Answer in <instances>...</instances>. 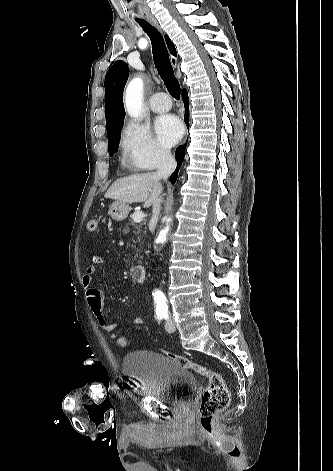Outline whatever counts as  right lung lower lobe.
<instances>
[{"label": "right lung lower lobe", "instance_id": "98d812e1", "mask_svg": "<svg viewBox=\"0 0 333 471\" xmlns=\"http://www.w3.org/2000/svg\"><path fill=\"white\" fill-rule=\"evenodd\" d=\"M182 99H183V102H184V107H185V117H184V121L186 123V125L188 126L189 125V114H188V105H189V98H188V95H187V91L186 89H183V92H182ZM184 150H185V145L183 146H179L177 149H176V152H175V158H176V161H177V168L176 170L174 171V173L170 176V181L172 183H175L176 180H177V176H178V171H179V168L183 162V159H184Z\"/></svg>", "mask_w": 333, "mask_h": 471}]
</instances>
